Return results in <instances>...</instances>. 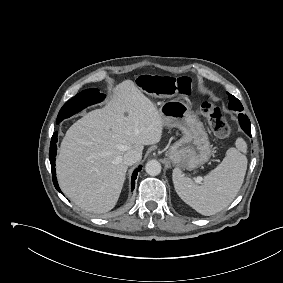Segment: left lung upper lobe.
Segmentation results:
<instances>
[{
    "label": "left lung upper lobe",
    "instance_id": "obj_1",
    "mask_svg": "<svg viewBox=\"0 0 283 283\" xmlns=\"http://www.w3.org/2000/svg\"><path fill=\"white\" fill-rule=\"evenodd\" d=\"M228 96H229V99H230L229 108L237 110V111H242L243 107H242L240 101L229 93H228Z\"/></svg>",
    "mask_w": 283,
    "mask_h": 283
}]
</instances>
